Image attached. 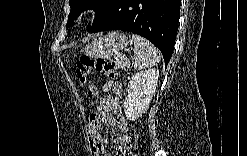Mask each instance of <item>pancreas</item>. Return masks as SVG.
Listing matches in <instances>:
<instances>
[{"mask_svg": "<svg viewBox=\"0 0 247 156\" xmlns=\"http://www.w3.org/2000/svg\"><path fill=\"white\" fill-rule=\"evenodd\" d=\"M117 63H118V66H119L120 68H122V69H124V68L126 67V66H125V61H124V60H118Z\"/></svg>", "mask_w": 247, "mask_h": 156, "instance_id": "obj_1", "label": "pancreas"}]
</instances>
